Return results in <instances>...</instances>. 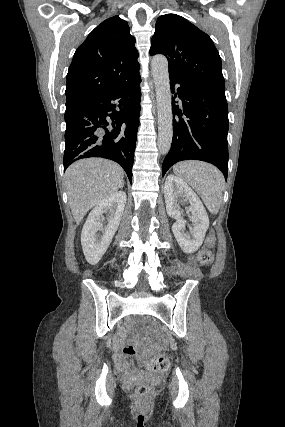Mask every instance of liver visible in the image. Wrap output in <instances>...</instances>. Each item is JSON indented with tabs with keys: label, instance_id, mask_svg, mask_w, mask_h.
I'll use <instances>...</instances> for the list:
<instances>
[{
	"label": "liver",
	"instance_id": "obj_1",
	"mask_svg": "<svg viewBox=\"0 0 285 427\" xmlns=\"http://www.w3.org/2000/svg\"><path fill=\"white\" fill-rule=\"evenodd\" d=\"M64 178L71 212L81 222L92 207L121 188L124 171L110 160L87 158L69 166Z\"/></svg>",
	"mask_w": 285,
	"mask_h": 427
}]
</instances>
